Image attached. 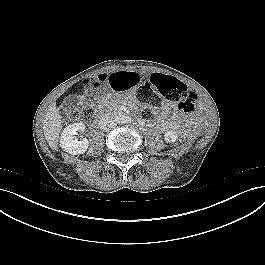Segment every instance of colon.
Returning a JSON list of instances; mask_svg holds the SVG:
<instances>
[{
	"mask_svg": "<svg viewBox=\"0 0 265 265\" xmlns=\"http://www.w3.org/2000/svg\"><path fill=\"white\" fill-rule=\"evenodd\" d=\"M149 83L137 89L136 98L140 104V114L147 121L156 119V110L164 105V102H171L184 112H192L196 109L197 95L188 90L187 86L177 78L165 76L161 71L155 70L149 74ZM60 113L69 115L72 119L90 121L94 118L95 111L91 105L83 106L81 109L68 111L65 107Z\"/></svg>",
	"mask_w": 265,
	"mask_h": 265,
	"instance_id": "obj_1",
	"label": "colon"
}]
</instances>
